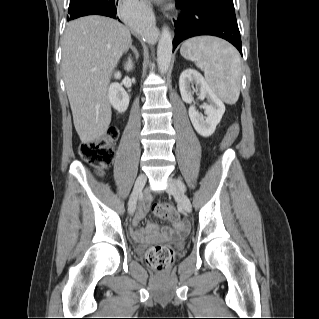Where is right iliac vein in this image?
I'll return each instance as SVG.
<instances>
[{
    "label": "right iliac vein",
    "instance_id": "63e3f726",
    "mask_svg": "<svg viewBox=\"0 0 319 319\" xmlns=\"http://www.w3.org/2000/svg\"><path fill=\"white\" fill-rule=\"evenodd\" d=\"M146 180H147V178L144 174H140L136 179L134 189H133L132 195H131L130 200H129V213L130 214H133L135 212L137 198H138L139 194L141 193V191L146 183Z\"/></svg>",
    "mask_w": 319,
    "mask_h": 319
}]
</instances>
